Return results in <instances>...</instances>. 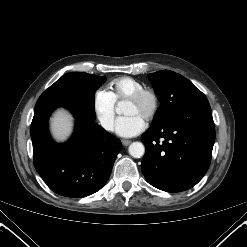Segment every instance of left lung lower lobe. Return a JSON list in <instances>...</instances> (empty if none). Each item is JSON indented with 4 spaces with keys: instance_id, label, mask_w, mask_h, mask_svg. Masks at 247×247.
Returning <instances> with one entry per match:
<instances>
[{
    "instance_id": "obj_1",
    "label": "left lung lower lobe",
    "mask_w": 247,
    "mask_h": 247,
    "mask_svg": "<svg viewBox=\"0 0 247 247\" xmlns=\"http://www.w3.org/2000/svg\"><path fill=\"white\" fill-rule=\"evenodd\" d=\"M142 137L146 152L141 169L147 181L167 192L190 189L211 162L215 128L210 105L195 104L152 123Z\"/></svg>"
}]
</instances>
